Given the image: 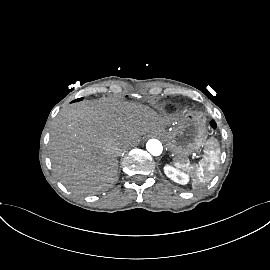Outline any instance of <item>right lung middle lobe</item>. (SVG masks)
Wrapping results in <instances>:
<instances>
[{"instance_id": "obj_1", "label": "right lung middle lobe", "mask_w": 270, "mask_h": 270, "mask_svg": "<svg viewBox=\"0 0 270 270\" xmlns=\"http://www.w3.org/2000/svg\"><path fill=\"white\" fill-rule=\"evenodd\" d=\"M80 100H82V98L76 99V100H74L73 102L80 101Z\"/></svg>"}]
</instances>
